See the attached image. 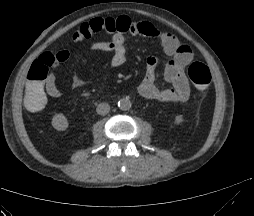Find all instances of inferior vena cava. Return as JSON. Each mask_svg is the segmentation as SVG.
I'll use <instances>...</instances> for the list:
<instances>
[{
	"label": "inferior vena cava",
	"instance_id": "1",
	"mask_svg": "<svg viewBox=\"0 0 254 216\" xmlns=\"http://www.w3.org/2000/svg\"><path fill=\"white\" fill-rule=\"evenodd\" d=\"M99 115H106L110 111V105L108 103H100L96 109Z\"/></svg>",
	"mask_w": 254,
	"mask_h": 216
}]
</instances>
